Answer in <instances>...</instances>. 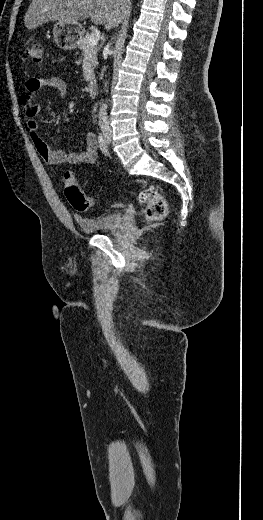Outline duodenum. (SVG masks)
I'll use <instances>...</instances> for the list:
<instances>
[{"mask_svg": "<svg viewBox=\"0 0 263 520\" xmlns=\"http://www.w3.org/2000/svg\"><path fill=\"white\" fill-rule=\"evenodd\" d=\"M97 81L95 79H91L89 82H88V85H87V89H88V93L90 96H95L96 93H97Z\"/></svg>", "mask_w": 263, "mask_h": 520, "instance_id": "410a0bca", "label": "duodenum"}]
</instances>
